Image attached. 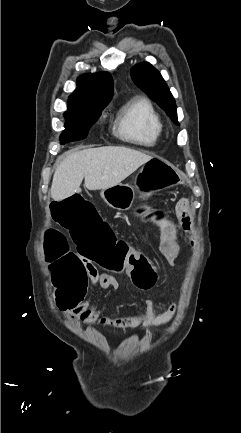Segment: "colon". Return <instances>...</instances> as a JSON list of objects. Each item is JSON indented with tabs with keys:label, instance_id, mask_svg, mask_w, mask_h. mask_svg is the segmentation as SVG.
<instances>
[{
	"label": "colon",
	"instance_id": "1",
	"mask_svg": "<svg viewBox=\"0 0 241 433\" xmlns=\"http://www.w3.org/2000/svg\"><path fill=\"white\" fill-rule=\"evenodd\" d=\"M139 174L144 179L140 182L142 194H156L161 190H173L180 181L188 178L182 168H172L171 161L162 157H147ZM85 192H74L65 202H50L51 221H59L61 229H70L68 236L76 243L79 257L87 261L108 265L110 270L127 269L140 288L151 287L156 274L150 262L143 254L131 251L124 238H110L115 228L110 220H102L99 205H89ZM142 216H150L155 233L159 236V251H166L168 259L173 261L180 244L183 231L177 226L179 220L164 207H142ZM173 217V218H172ZM44 272L53 273L55 296L62 312H73L75 305H84L89 291L88 268L81 259L69 251L64 235L57 230H49L44 244Z\"/></svg>",
	"mask_w": 241,
	"mask_h": 433
}]
</instances>
